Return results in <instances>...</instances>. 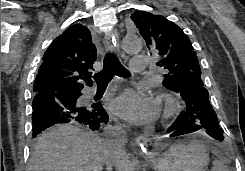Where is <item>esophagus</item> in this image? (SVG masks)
Here are the masks:
<instances>
[{"mask_svg":"<svg viewBox=\"0 0 245 171\" xmlns=\"http://www.w3.org/2000/svg\"><path fill=\"white\" fill-rule=\"evenodd\" d=\"M103 43H104L105 50L107 52L112 53L114 51V47L116 44L114 43L113 38L111 37L109 33L105 34ZM132 145L137 148L136 152L139 155L144 156V157H150V152L148 151V148H147V140L144 136L141 135L135 138L132 142Z\"/></svg>","mask_w":245,"mask_h":171,"instance_id":"34e87169","label":"esophagus"}]
</instances>
